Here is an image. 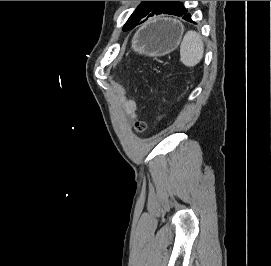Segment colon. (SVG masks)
Segmentation results:
<instances>
[{"mask_svg":"<svg viewBox=\"0 0 271 266\" xmlns=\"http://www.w3.org/2000/svg\"><path fill=\"white\" fill-rule=\"evenodd\" d=\"M134 129L138 132V133H142L146 130V123L142 120H138L135 122L134 124Z\"/></svg>","mask_w":271,"mask_h":266,"instance_id":"5ec220e1","label":"colon"}]
</instances>
